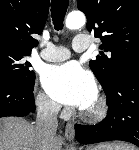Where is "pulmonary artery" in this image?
<instances>
[{"instance_id":"pulmonary-artery-1","label":"pulmonary artery","mask_w":139,"mask_h":150,"mask_svg":"<svg viewBox=\"0 0 139 150\" xmlns=\"http://www.w3.org/2000/svg\"><path fill=\"white\" fill-rule=\"evenodd\" d=\"M90 46V39L86 35H78L74 38L73 49L76 52L87 50ZM41 57L47 61L59 62L64 61L70 57V51L63 46H56L48 43L47 47L41 51Z\"/></svg>"}]
</instances>
